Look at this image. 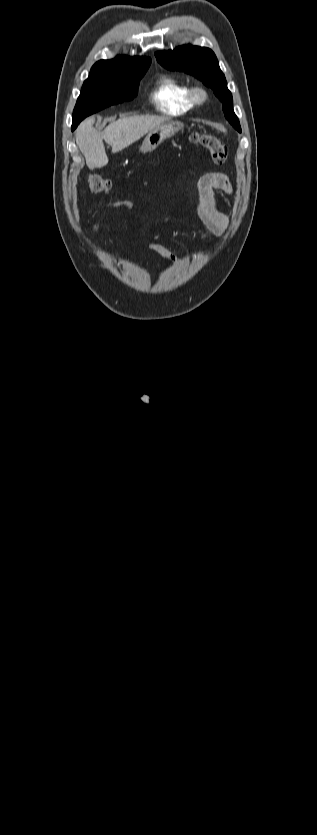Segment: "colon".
<instances>
[{
    "instance_id": "colon-1",
    "label": "colon",
    "mask_w": 317,
    "mask_h": 835,
    "mask_svg": "<svg viewBox=\"0 0 317 835\" xmlns=\"http://www.w3.org/2000/svg\"><path fill=\"white\" fill-rule=\"evenodd\" d=\"M193 140L210 153L211 159L215 164H223L225 162L227 148L217 137L211 134L196 133L193 136ZM87 182L92 194L104 193L112 186L110 179L98 174L90 175Z\"/></svg>"
}]
</instances>
